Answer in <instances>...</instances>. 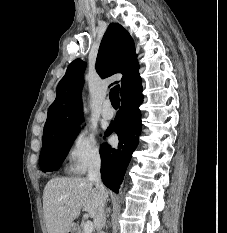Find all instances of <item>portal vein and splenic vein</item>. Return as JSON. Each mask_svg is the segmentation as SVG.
<instances>
[{
	"mask_svg": "<svg viewBox=\"0 0 227 233\" xmlns=\"http://www.w3.org/2000/svg\"><path fill=\"white\" fill-rule=\"evenodd\" d=\"M93 228H94L93 223L91 221H87L84 224L83 233H92Z\"/></svg>",
	"mask_w": 227,
	"mask_h": 233,
	"instance_id": "1",
	"label": "portal vein and splenic vein"
}]
</instances>
